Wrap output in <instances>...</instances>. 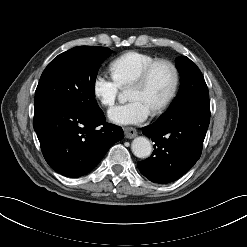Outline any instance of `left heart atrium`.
<instances>
[{
  "instance_id": "1",
  "label": "left heart atrium",
  "mask_w": 247,
  "mask_h": 247,
  "mask_svg": "<svg viewBox=\"0 0 247 247\" xmlns=\"http://www.w3.org/2000/svg\"><path fill=\"white\" fill-rule=\"evenodd\" d=\"M151 113V109L137 99L119 104L109 110V118L118 124H138Z\"/></svg>"
}]
</instances>
